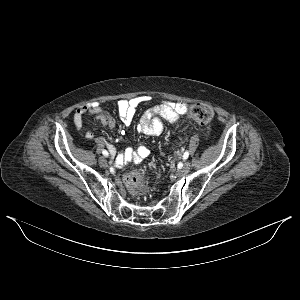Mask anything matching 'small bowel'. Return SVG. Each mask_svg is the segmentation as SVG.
<instances>
[{"mask_svg":"<svg viewBox=\"0 0 300 300\" xmlns=\"http://www.w3.org/2000/svg\"><path fill=\"white\" fill-rule=\"evenodd\" d=\"M147 100L146 96H136L117 102L118 116L126 128H130L137 108ZM188 109L189 105L185 102H162L144 111L136 126V130L149 136L160 135L164 129V121L177 122L181 116L187 113ZM85 114L96 116L105 127L114 128L116 126V119L110 112L99 103L90 102L78 107L73 115L74 125L78 131H81L83 128V116ZM85 137L88 140H97L99 143L104 142L102 138H96L92 131H86ZM109 149L116 168H121L130 161L140 162L150 153L146 146L126 148L117 155L113 146L109 145Z\"/></svg>","mask_w":300,"mask_h":300,"instance_id":"1","label":"small bowel"}]
</instances>
